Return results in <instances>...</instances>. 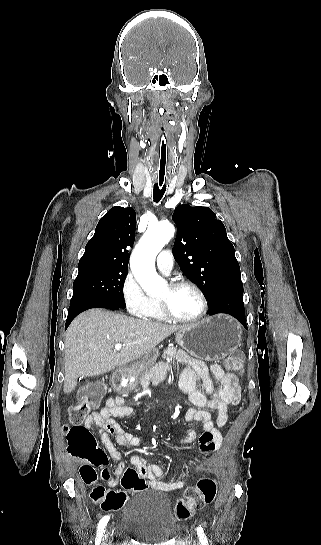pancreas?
Masks as SVG:
<instances>
[{
  "mask_svg": "<svg viewBox=\"0 0 321 545\" xmlns=\"http://www.w3.org/2000/svg\"><path fill=\"white\" fill-rule=\"evenodd\" d=\"M169 369L170 365H168V363H155V365H152L151 369H146V371L126 369L124 375L136 377V383H139L142 389H148L150 383H154V385L163 383V381L167 379Z\"/></svg>",
  "mask_w": 321,
  "mask_h": 545,
  "instance_id": "1",
  "label": "pancreas"
}]
</instances>
